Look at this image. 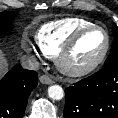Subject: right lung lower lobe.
<instances>
[{"mask_svg": "<svg viewBox=\"0 0 118 118\" xmlns=\"http://www.w3.org/2000/svg\"><path fill=\"white\" fill-rule=\"evenodd\" d=\"M36 86L35 71H9L0 82V118H22L29 94Z\"/></svg>", "mask_w": 118, "mask_h": 118, "instance_id": "1", "label": "right lung lower lobe"}]
</instances>
